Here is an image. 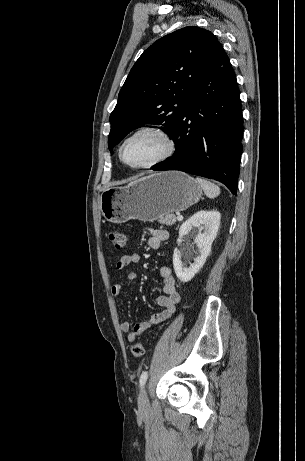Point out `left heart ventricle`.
<instances>
[{
  "label": "left heart ventricle",
  "mask_w": 305,
  "mask_h": 461,
  "mask_svg": "<svg viewBox=\"0 0 305 461\" xmlns=\"http://www.w3.org/2000/svg\"><path fill=\"white\" fill-rule=\"evenodd\" d=\"M164 142L155 134H141L131 139L124 147V159L131 165L145 164L164 150Z\"/></svg>",
  "instance_id": "1"
}]
</instances>
